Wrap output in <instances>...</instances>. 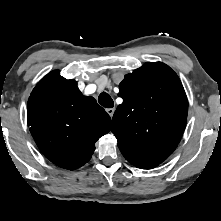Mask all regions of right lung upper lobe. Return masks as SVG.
<instances>
[{"mask_svg":"<svg viewBox=\"0 0 221 221\" xmlns=\"http://www.w3.org/2000/svg\"><path fill=\"white\" fill-rule=\"evenodd\" d=\"M30 132L40 151L59 167L73 170L87 163L95 142L111 130V118L77 82L59 70L33 89L27 106Z\"/></svg>","mask_w":221,"mask_h":221,"instance_id":"cb5924a9","label":"right lung upper lobe"}]
</instances>
